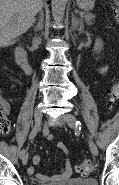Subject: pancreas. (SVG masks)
<instances>
[{
  "mask_svg": "<svg viewBox=\"0 0 119 185\" xmlns=\"http://www.w3.org/2000/svg\"><path fill=\"white\" fill-rule=\"evenodd\" d=\"M82 18H84L87 24L90 25L91 21L95 18V16L92 13H84Z\"/></svg>",
  "mask_w": 119,
  "mask_h": 185,
  "instance_id": "pancreas-1",
  "label": "pancreas"
}]
</instances>
